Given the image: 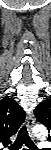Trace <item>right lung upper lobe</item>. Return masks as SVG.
<instances>
[{
    "mask_svg": "<svg viewBox=\"0 0 51 150\" xmlns=\"http://www.w3.org/2000/svg\"><path fill=\"white\" fill-rule=\"evenodd\" d=\"M25 112L18 103L11 98L0 100V142L10 143L9 138L14 135L24 122Z\"/></svg>",
    "mask_w": 51,
    "mask_h": 150,
    "instance_id": "1",
    "label": "right lung upper lobe"
}]
</instances>
